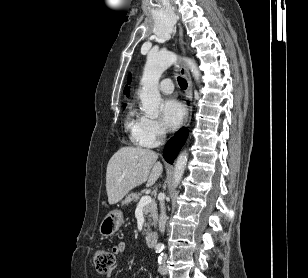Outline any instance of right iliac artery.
Listing matches in <instances>:
<instances>
[{
    "label": "right iliac artery",
    "mask_w": 308,
    "mask_h": 278,
    "mask_svg": "<svg viewBox=\"0 0 308 278\" xmlns=\"http://www.w3.org/2000/svg\"><path fill=\"white\" fill-rule=\"evenodd\" d=\"M162 250H163V247H160V246H157V247H156V252H157V253H160Z\"/></svg>",
    "instance_id": "82829eb1"
}]
</instances>
